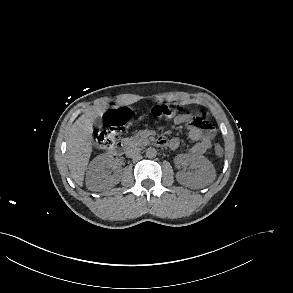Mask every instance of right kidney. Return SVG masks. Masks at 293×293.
<instances>
[{
  "label": "right kidney",
  "mask_w": 293,
  "mask_h": 293,
  "mask_svg": "<svg viewBox=\"0 0 293 293\" xmlns=\"http://www.w3.org/2000/svg\"><path fill=\"white\" fill-rule=\"evenodd\" d=\"M112 160L105 154L95 157L89 164L86 173V185L90 190H98L101 186H114L120 180V172L117 170L113 175L107 173V168Z\"/></svg>",
  "instance_id": "ca27d5eb"
}]
</instances>
